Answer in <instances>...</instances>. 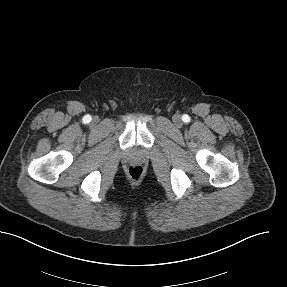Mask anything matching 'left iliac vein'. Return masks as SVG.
<instances>
[{"mask_svg": "<svg viewBox=\"0 0 287 287\" xmlns=\"http://www.w3.org/2000/svg\"><path fill=\"white\" fill-rule=\"evenodd\" d=\"M173 122L176 126H178V127L181 126L182 125V119H181L180 115L175 114L173 116Z\"/></svg>", "mask_w": 287, "mask_h": 287, "instance_id": "1", "label": "left iliac vein"}]
</instances>
